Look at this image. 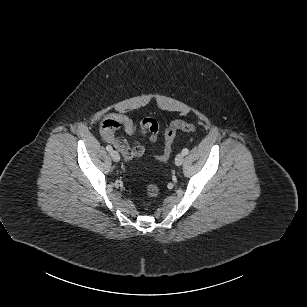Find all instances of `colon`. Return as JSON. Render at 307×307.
<instances>
[{
  "label": "colon",
  "mask_w": 307,
  "mask_h": 307,
  "mask_svg": "<svg viewBox=\"0 0 307 307\" xmlns=\"http://www.w3.org/2000/svg\"><path fill=\"white\" fill-rule=\"evenodd\" d=\"M179 130L185 132H194L196 127L195 125L183 120H176L171 122L165 129L163 153L156 157L160 162H166L169 160L172 152V145L174 142L175 134ZM146 192L150 197H155L158 195L159 189L156 185L150 184L146 187Z\"/></svg>",
  "instance_id": "colon-1"
}]
</instances>
